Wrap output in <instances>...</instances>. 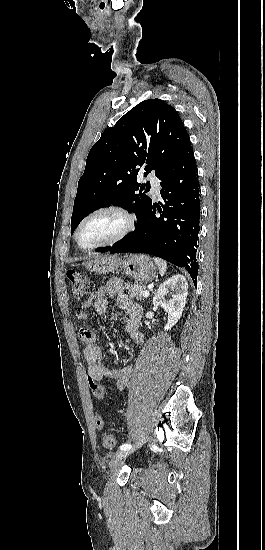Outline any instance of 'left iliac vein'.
Instances as JSON below:
<instances>
[{
    "mask_svg": "<svg viewBox=\"0 0 265 550\" xmlns=\"http://www.w3.org/2000/svg\"><path fill=\"white\" fill-rule=\"evenodd\" d=\"M145 440V439H144ZM143 443V440L138 442L137 445L132 448L131 450H125V451H122V452H119L115 455L112 463H111V467L112 468H117V467H120L123 463V461L126 459V457L131 454L137 447H139L141 444Z\"/></svg>",
    "mask_w": 265,
    "mask_h": 550,
    "instance_id": "4c4485c4",
    "label": "left iliac vein"
}]
</instances>
